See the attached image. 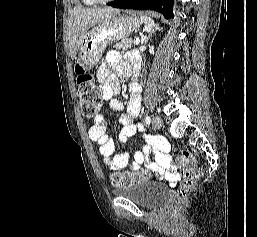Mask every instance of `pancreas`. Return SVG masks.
Wrapping results in <instances>:
<instances>
[{
  "label": "pancreas",
  "mask_w": 257,
  "mask_h": 237,
  "mask_svg": "<svg viewBox=\"0 0 257 237\" xmlns=\"http://www.w3.org/2000/svg\"><path fill=\"white\" fill-rule=\"evenodd\" d=\"M133 40L131 38L129 39H123L119 43H116L113 47L117 50H122L123 52L131 49L133 47Z\"/></svg>",
  "instance_id": "1"
}]
</instances>
